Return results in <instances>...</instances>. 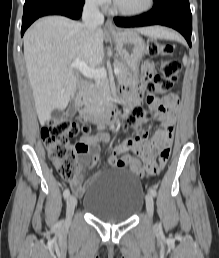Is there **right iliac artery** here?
Returning <instances> with one entry per match:
<instances>
[{
	"label": "right iliac artery",
	"instance_id": "82829eb1",
	"mask_svg": "<svg viewBox=\"0 0 219 258\" xmlns=\"http://www.w3.org/2000/svg\"><path fill=\"white\" fill-rule=\"evenodd\" d=\"M69 195H70V191H69L68 188H66V189L64 190V192H63V196H64V198H67Z\"/></svg>",
	"mask_w": 219,
	"mask_h": 258
}]
</instances>
